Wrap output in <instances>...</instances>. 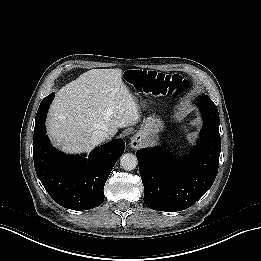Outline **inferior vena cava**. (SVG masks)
Masks as SVG:
<instances>
[{
	"instance_id": "602c4592",
	"label": "inferior vena cava",
	"mask_w": 261,
	"mask_h": 261,
	"mask_svg": "<svg viewBox=\"0 0 261 261\" xmlns=\"http://www.w3.org/2000/svg\"><path fill=\"white\" fill-rule=\"evenodd\" d=\"M110 138V135L102 130H96L92 133L91 139L94 145H99Z\"/></svg>"
}]
</instances>
